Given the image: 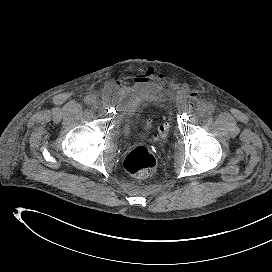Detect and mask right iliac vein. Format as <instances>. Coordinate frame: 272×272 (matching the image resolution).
<instances>
[{"instance_id":"right-iliac-vein-1","label":"right iliac vein","mask_w":272,"mask_h":272,"mask_svg":"<svg viewBox=\"0 0 272 272\" xmlns=\"http://www.w3.org/2000/svg\"><path fill=\"white\" fill-rule=\"evenodd\" d=\"M91 104H92V106H93L94 108H97V107H98V105H99V101H98V99H96V98H92V102H91Z\"/></svg>"}]
</instances>
